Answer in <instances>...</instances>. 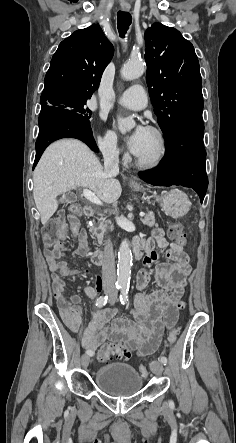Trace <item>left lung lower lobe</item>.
<instances>
[{
    "label": "left lung lower lobe",
    "mask_w": 236,
    "mask_h": 443,
    "mask_svg": "<svg viewBox=\"0 0 236 443\" xmlns=\"http://www.w3.org/2000/svg\"><path fill=\"white\" fill-rule=\"evenodd\" d=\"M203 134L202 118L189 117L176 123L165 136L166 154L161 165L139 172V177L152 185L191 187L202 203L208 186Z\"/></svg>",
    "instance_id": "0a47b994"
}]
</instances>
